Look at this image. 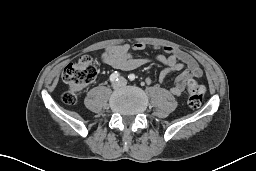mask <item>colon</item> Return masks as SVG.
Here are the masks:
<instances>
[{
  "instance_id": "colon-1",
  "label": "colon",
  "mask_w": 256,
  "mask_h": 171,
  "mask_svg": "<svg viewBox=\"0 0 256 171\" xmlns=\"http://www.w3.org/2000/svg\"><path fill=\"white\" fill-rule=\"evenodd\" d=\"M97 68L88 56H83L77 61L68 64L62 73V80L67 85V90L62 95V101L67 105H74L78 96L85 86L90 84L96 77ZM206 93L205 85L188 80L187 94L188 105L191 108H199Z\"/></svg>"
}]
</instances>
